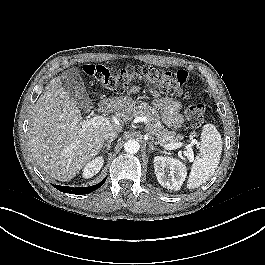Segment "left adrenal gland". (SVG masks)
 I'll return each mask as SVG.
<instances>
[{"instance_id": "1", "label": "left adrenal gland", "mask_w": 265, "mask_h": 265, "mask_svg": "<svg viewBox=\"0 0 265 265\" xmlns=\"http://www.w3.org/2000/svg\"><path fill=\"white\" fill-rule=\"evenodd\" d=\"M148 145H149L148 152H152V151H154V150H157V149L154 147L153 142H148Z\"/></svg>"}]
</instances>
